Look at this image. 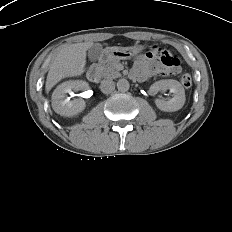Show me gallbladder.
Masks as SVG:
<instances>
[{
	"instance_id": "obj_1",
	"label": "gallbladder",
	"mask_w": 232,
	"mask_h": 232,
	"mask_svg": "<svg viewBox=\"0 0 232 232\" xmlns=\"http://www.w3.org/2000/svg\"><path fill=\"white\" fill-rule=\"evenodd\" d=\"M102 52V46L94 44L89 48L87 55L90 61H96L100 58Z\"/></svg>"
}]
</instances>
